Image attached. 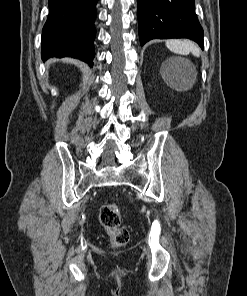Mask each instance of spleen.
I'll list each match as a JSON object with an SVG mask.
<instances>
[{
    "instance_id": "obj_1",
    "label": "spleen",
    "mask_w": 247,
    "mask_h": 296,
    "mask_svg": "<svg viewBox=\"0 0 247 296\" xmlns=\"http://www.w3.org/2000/svg\"><path fill=\"white\" fill-rule=\"evenodd\" d=\"M167 48L177 54L187 55L190 52L196 56H200V49L193 42L181 39H171L166 41Z\"/></svg>"
}]
</instances>
